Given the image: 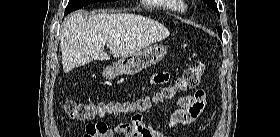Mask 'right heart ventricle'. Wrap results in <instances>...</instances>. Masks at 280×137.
I'll list each match as a JSON object with an SVG mask.
<instances>
[{
	"label": "right heart ventricle",
	"instance_id": "e07e8e85",
	"mask_svg": "<svg viewBox=\"0 0 280 137\" xmlns=\"http://www.w3.org/2000/svg\"><path fill=\"white\" fill-rule=\"evenodd\" d=\"M148 2H165L167 3L168 9L174 13H184L188 10L184 0H146Z\"/></svg>",
	"mask_w": 280,
	"mask_h": 137
}]
</instances>
